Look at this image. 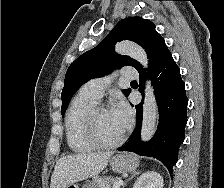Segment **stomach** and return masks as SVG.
<instances>
[{
    "instance_id": "1",
    "label": "stomach",
    "mask_w": 224,
    "mask_h": 188,
    "mask_svg": "<svg viewBox=\"0 0 224 188\" xmlns=\"http://www.w3.org/2000/svg\"><path fill=\"white\" fill-rule=\"evenodd\" d=\"M110 166L117 173L131 172L139 166V159L133 154H117L111 158ZM64 188H78V186L70 184Z\"/></svg>"
}]
</instances>
